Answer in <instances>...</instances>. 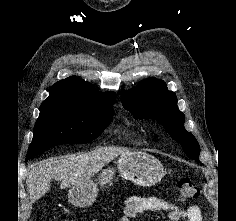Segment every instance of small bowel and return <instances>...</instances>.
Returning <instances> with one entry per match:
<instances>
[{
	"label": "small bowel",
	"instance_id": "c3829d8e",
	"mask_svg": "<svg viewBox=\"0 0 236 221\" xmlns=\"http://www.w3.org/2000/svg\"><path fill=\"white\" fill-rule=\"evenodd\" d=\"M167 212L171 221H203L197 205L181 207L159 197L132 196L126 200L119 221H131L145 212Z\"/></svg>",
	"mask_w": 236,
	"mask_h": 221
}]
</instances>
